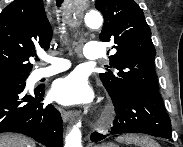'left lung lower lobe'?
I'll list each match as a JSON object with an SVG mask.
<instances>
[{"instance_id":"0a47b994","label":"left lung lower lobe","mask_w":183,"mask_h":147,"mask_svg":"<svg viewBox=\"0 0 183 147\" xmlns=\"http://www.w3.org/2000/svg\"><path fill=\"white\" fill-rule=\"evenodd\" d=\"M116 117L111 133H144L156 137L171 138V122L159 92L131 88L113 100ZM106 136L93 133L91 140L100 141Z\"/></svg>"}]
</instances>
